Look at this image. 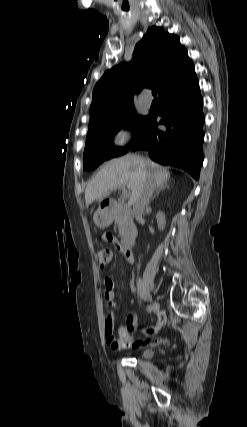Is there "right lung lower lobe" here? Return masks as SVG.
I'll list each match as a JSON object with an SVG mask.
<instances>
[{
  "mask_svg": "<svg viewBox=\"0 0 247 427\" xmlns=\"http://www.w3.org/2000/svg\"><path fill=\"white\" fill-rule=\"evenodd\" d=\"M202 106L192 67L159 95L158 112L149 114L144 137L129 149L147 150L155 162L180 167L198 180L204 159ZM159 116L161 119L157 122ZM158 123L166 129L159 130Z\"/></svg>",
  "mask_w": 247,
  "mask_h": 427,
  "instance_id": "1",
  "label": "right lung lower lobe"
}]
</instances>
